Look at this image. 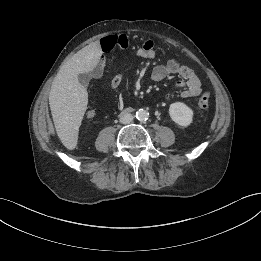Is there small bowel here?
I'll list each match as a JSON object with an SVG mask.
<instances>
[{"instance_id":"obj_1","label":"small bowel","mask_w":261,"mask_h":261,"mask_svg":"<svg viewBox=\"0 0 261 261\" xmlns=\"http://www.w3.org/2000/svg\"><path fill=\"white\" fill-rule=\"evenodd\" d=\"M100 48L103 54L110 52L113 49H128L130 41L126 35L112 34L100 40ZM135 54L142 58H154L157 53L156 45L153 40L147 39L139 46H134ZM104 56L94 69L93 75L99 78L103 74ZM170 75H177L182 80L176 84V88L181 89L183 98L197 97L201 93V82L196 73L188 66L182 64L177 59H170L165 64L157 65L151 73V79L155 82H161ZM123 80V74L117 73L111 80V87L118 88ZM89 119L95 117V111L90 110L87 113Z\"/></svg>"}]
</instances>
